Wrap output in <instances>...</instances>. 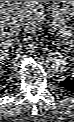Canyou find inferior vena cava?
Returning <instances> with one entry per match:
<instances>
[{"label":"inferior vena cava","instance_id":"602c4592","mask_svg":"<svg viewBox=\"0 0 74 122\" xmlns=\"http://www.w3.org/2000/svg\"><path fill=\"white\" fill-rule=\"evenodd\" d=\"M17 28H18V30L22 31L23 28H24V24L18 23V24H17Z\"/></svg>","mask_w":74,"mask_h":122}]
</instances>
